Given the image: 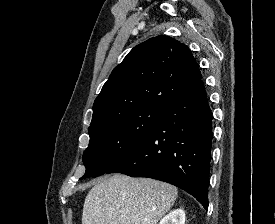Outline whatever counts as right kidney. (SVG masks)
Masks as SVG:
<instances>
[{
	"instance_id": "obj_1",
	"label": "right kidney",
	"mask_w": 275,
	"mask_h": 224,
	"mask_svg": "<svg viewBox=\"0 0 275 224\" xmlns=\"http://www.w3.org/2000/svg\"><path fill=\"white\" fill-rule=\"evenodd\" d=\"M159 224H185V212L183 209H175L167 214Z\"/></svg>"
}]
</instances>
